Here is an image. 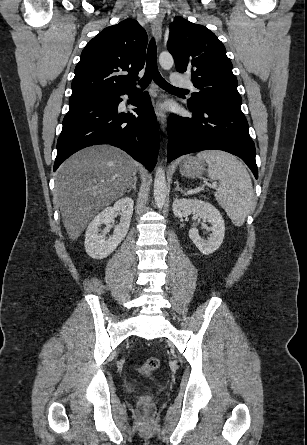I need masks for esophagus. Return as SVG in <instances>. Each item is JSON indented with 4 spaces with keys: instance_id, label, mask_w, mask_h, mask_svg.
<instances>
[{
    "instance_id": "34e87169",
    "label": "esophagus",
    "mask_w": 307,
    "mask_h": 445,
    "mask_svg": "<svg viewBox=\"0 0 307 445\" xmlns=\"http://www.w3.org/2000/svg\"><path fill=\"white\" fill-rule=\"evenodd\" d=\"M152 33H153L156 41L160 42L161 35H162V24L159 19H156L152 22ZM155 114H156L157 120L160 124V127H161L162 131L164 132L165 128H166L167 117H166L165 113L160 110L158 101L156 102V105H155Z\"/></svg>"
}]
</instances>
